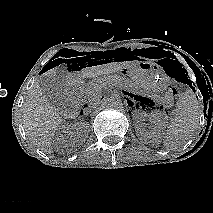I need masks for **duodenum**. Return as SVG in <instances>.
I'll return each mask as SVG.
<instances>
[{"label":"duodenum","instance_id":"obj_1","mask_svg":"<svg viewBox=\"0 0 213 213\" xmlns=\"http://www.w3.org/2000/svg\"><path fill=\"white\" fill-rule=\"evenodd\" d=\"M77 90H78V88H77V86H75V85L72 86V87L70 88V92H71V93L77 92ZM100 102H101V100H97V101H95L94 103H87V104H84V105L82 106L81 110L90 109V108L94 107L95 105L99 104Z\"/></svg>","mask_w":213,"mask_h":213}]
</instances>
